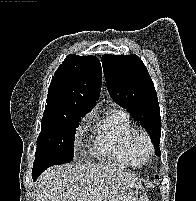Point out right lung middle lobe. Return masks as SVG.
<instances>
[{"instance_id":"right-lung-middle-lobe-1","label":"right lung middle lobe","mask_w":196,"mask_h":201,"mask_svg":"<svg viewBox=\"0 0 196 201\" xmlns=\"http://www.w3.org/2000/svg\"><path fill=\"white\" fill-rule=\"evenodd\" d=\"M86 113L72 110L61 115L43 116L32 172L42 173L50 166L73 159L76 127Z\"/></svg>"}]
</instances>
